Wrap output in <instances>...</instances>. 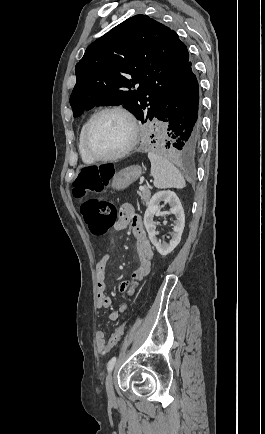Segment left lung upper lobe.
<instances>
[{"label":"left lung upper lobe","mask_w":265,"mask_h":434,"mask_svg":"<svg viewBox=\"0 0 265 434\" xmlns=\"http://www.w3.org/2000/svg\"><path fill=\"white\" fill-rule=\"evenodd\" d=\"M188 61L174 30L135 15L89 45L77 63L70 97L74 117L94 106L121 104L142 122L146 113L152 120Z\"/></svg>","instance_id":"obj_1"}]
</instances>
